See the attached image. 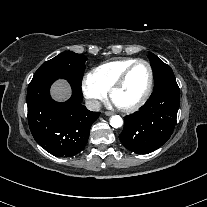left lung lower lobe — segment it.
I'll return each instance as SVG.
<instances>
[{"label": "left lung lower lobe", "mask_w": 207, "mask_h": 207, "mask_svg": "<svg viewBox=\"0 0 207 207\" xmlns=\"http://www.w3.org/2000/svg\"><path fill=\"white\" fill-rule=\"evenodd\" d=\"M179 105L177 83L155 89L139 111L124 118V128L119 135L121 143L139 154L158 149L173 133Z\"/></svg>", "instance_id": "left-lung-lower-lobe-1"}]
</instances>
